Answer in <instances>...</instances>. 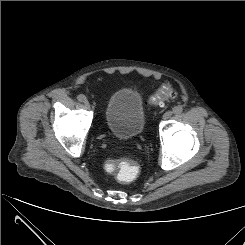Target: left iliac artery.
<instances>
[{"label":"left iliac artery","instance_id":"obj_1","mask_svg":"<svg viewBox=\"0 0 245 245\" xmlns=\"http://www.w3.org/2000/svg\"><path fill=\"white\" fill-rule=\"evenodd\" d=\"M183 111V108L181 106H176L173 108L174 114H180Z\"/></svg>","mask_w":245,"mask_h":245}]
</instances>
